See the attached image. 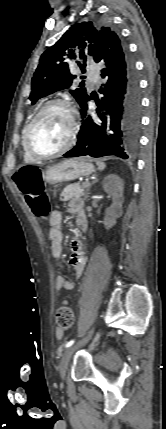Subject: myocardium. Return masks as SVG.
<instances>
[{
  "label": "myocardium",
  "instance_id": "f54148a6",
  "mask_svg": "<svg viewBox=\"0 0 166 429\" xmlns=\"http://www.w3.org/2000/svg\"><path fill=\"white\" fill-rule=\"evenodd\" d=\"M54 107H62L66 110V112L68 114V118H69L68 140L62 148H60L59 150H57L54 153L46 154V155L39 154L31 146V135H32L33 130H34L38 120L40 119V117L44 113H46L48 110H50ZM76 133H77V123H76L75 109H74L73 105L66 99H61V98L53 99L51 101H48L45 105H43L41 107V109L33 117V119L30 121V123L27 127V130H26V133H25V137H24V147H25L27 153L33 159H35L37 161H44V160L53 159V158H56V157H58L64 153H66L68 150L71 149V147L73 146V144L75 142Z\"/></svg>",
  "mask_w": 166,
  "mask_h": 429
}]
</instances>
